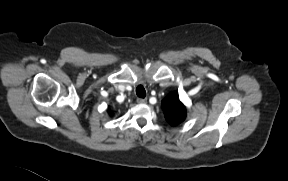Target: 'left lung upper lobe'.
I'll return each mask as SVG.
<instances>
[{"mask_svg": "<svg viewBox=\"0 0 288 181\" xmlns=\"http://www.w3.org/2000/svg\"><path fill=\"white\" fill-rule=\"evenodd\" d=\"M165 119L173 126L180 124L186 118V107L179 100L177 93H171L162 101Z\"/></svg>", "mask_w": 288, "mask_h": 181, "instance_id": "left-lung-upper-lobe-1", "label": "left lung upper lobe"}]
</instances>
